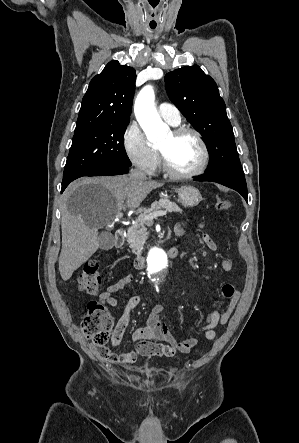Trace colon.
<instances>
[{
  "label": "colon",
  "instance_id": "1",
  "mask_svg": "<svg viewBox=\"0 0 299 443\" xmlns=\"http://www.w3.org/2000/svg\"><path fill=\"white\" fill-rule=\"evenodd\" d=\"M231 207L229 199L219 197L216 199L215 208L218 211H228ZM101 276L97 261L90 260L84 263L82 273L78 278L80 290L88 295H96L100 290ZM112 317L109 310L97 301H89L83 316L82 329L85 336L94 344L97 353L106 358L112 330Z\"/></svg>",
  "mask_w": 299,
  "mask_h": 443
}]
</instances>
